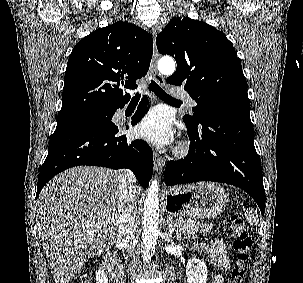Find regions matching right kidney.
I'll list each match as a JSON object with an SVG mask.
<instances>
[{"label": "right kidney", "instance_id": "obj_1", "mask_svg": "<svg viewBox=\"0 0 303 283\" xmlns=\"http://www.w3.org/2000/svg\"><path fill=\"white\" fill-rule=\"evenodd\" d=\"M96 283H108V279L104 270L99 269L96 271Z\"/></svg>", "mask_w": 303, "mask_h": 283}]
</instances>
